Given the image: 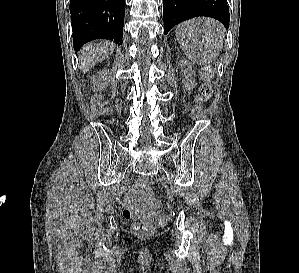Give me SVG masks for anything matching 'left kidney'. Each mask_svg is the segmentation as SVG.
<instances>
[{
    "instance_id": "left-kidney-1",
    "label": "left kidney",
    "mask_w": 299,
    "mask_h": 273,
    "mask_svg": "<svg viewBox=\"0 0 299 273\" xmlns=\"http://www.w3.org/2000/svg\"><path fill=\"white\" fill-rule=\"evenodd\" d=\"M180 67L183 68V74H184V86L186 89L190 90L194 87L195 81L193 80V70L192 65L186 61L183 60L180 63Z\"/></svg>"
}]
</instances>
